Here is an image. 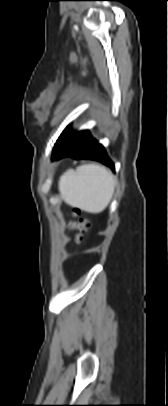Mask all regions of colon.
Segmentation results:
<instances>
[{
    "label": "colon",
    "instance_id": "obj_1",
    "mask_svg": "<svg viewBox=\"0 0 168 406\" xmlns=\"http://www.w3.org/2000/svg\"><path fill=\"white\" fill-rule=\"evenodd\" d=\"M87 227H88V224L84 220L75 224V228L80 232L85 231L87 229Z\"/></svg>",
    "mask_w": 168,
    "mask_h": 406
}]
</instances>
